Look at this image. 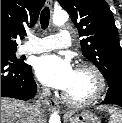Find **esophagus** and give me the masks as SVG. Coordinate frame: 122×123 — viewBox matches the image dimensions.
I'll return each mask as SVG.
<instances>
[{"mask_svg":"<svg viewBox=\"0 0 122 123\" xmlns=\"http://www.w3.org/2000/svg\"><path fill=\"white\" fill-rule=\"evenodd\" d=\"M46 5L48 7H51L52 6V1L51 0H47L46 1ZM48 106H49V109L50 110H55V109H59V104H58V101L54 98H50L48 100Z\"/></svg>","mask_w":122,"mask_h":123,"instance_id":"obj_1","label":"esophagus"}]
</instances>
